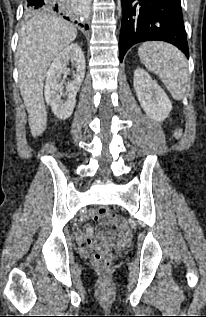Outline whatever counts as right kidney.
Listing matches in <instances>:
<instances>
[{"label": "right kidney", "instance_id": "right-kidney-1", "mask_svg": "<svg viewBox=\"0 0 206 317\" xmlns=\"http://www.w3.org/2000/svg\"><path fill=\"white\" fill-rule=\"evenodd\" d=\"M71 63L75 66L73 72V80L65 82L62 75L65 77L69 73L67 65ZM85 76V57L78 44H71L63 49L54 59L51 64L45 83V99L51 106L54 114L61 118H69L76 104V95L80 89L81 83ZM67 87V93L62 94L63 85ZM66 97V99H62Z\"/></svg>", "mask_w": 206, "mask_h": 317}]
</instances>
